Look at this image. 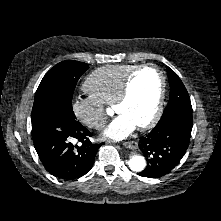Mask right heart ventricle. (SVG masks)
Segmentation results:
<instances>
[{"label":"right heart ventricle","mask_w":221,"mask_h":221,"mask_svg":"<svg viewBox=\"0 0 221 221\" xmlns=\"http://www.w3.org/2000/svg\"><path fill=\"white\" fill-rule=\"evenodd\" d=\"M138 65L115 64L100 67L83 84L85 93L102 104H114L128 74Z\"/></svg>","instance_id":"e07e8e85"}]
</instances>
